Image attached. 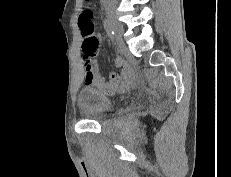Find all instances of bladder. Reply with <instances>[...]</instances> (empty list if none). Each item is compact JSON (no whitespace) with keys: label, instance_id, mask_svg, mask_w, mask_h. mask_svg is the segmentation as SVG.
I'll list each match as a JSON object with an SVG mask.
<instances>
[{"label":"bladder","instance_id":"31cf9c89","mask_svg":"<svg viewBox=\"0 0 231 177\" xmlns=\"http://www.w3.org/2000/svg\"><path fill=\"white\" fill-rule=\"evenodd\" d=\"M79 109L89 117H99L113 107L110 97L94 88H84L78 95Z\"/></svg>","mask_w":231,"mask_h":177}]
</instances>
